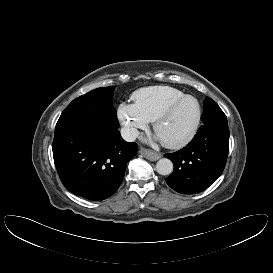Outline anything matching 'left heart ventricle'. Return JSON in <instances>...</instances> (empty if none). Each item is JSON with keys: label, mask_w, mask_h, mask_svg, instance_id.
Masks as SVG:
<instances>
[{"label": "left heart ventricle", "mask_w": 273, "mask_h": 273, "mask_svg": "<svg viewBox=\"0 0 273 273\" xmlns=\"http://www.w3.org/2000/svg\"><path fill=\"white\" fill-rule=\"evenodd\" d=\"M197 117V106L193 100H185L157 128V136L165 142H177L192 129Z\"/></svg>", "instance_id": "1"}]
</instances>
